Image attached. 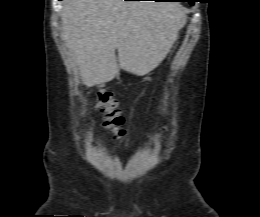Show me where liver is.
I'll return each instance as SVG.
<instances>
[{"label": "liver", "instance_id": "liver-1", "mask_svg": "<svg viewBox=\"0 0 260 217\" xmlns=\"http://www.w3.org/2000/svg\"><path fill=\"white\" fill-rule=\"evenodd\" d=\"M185 18L169 2L65 0L62 40L90 87L111 81L119 68L148 74L166 57Z\"/></svg>", "mask_w": 260, "mask_h": 217}]
</instances>
